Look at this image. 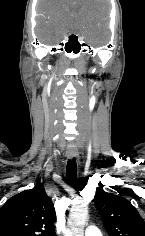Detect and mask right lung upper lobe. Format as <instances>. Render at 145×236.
Returning a JSON list of instances; mask_svg holds the SVG:
<instances>
[{"mask_svg":"<svg viewBox=\"0 0 145 236\" xmlns=\"http://www.w3.org/2000/svg\"><path fill=\"white\" fill-rule=\"evenodd\" d=\"M55 210L41 184L22 191L0 209V236H55Z\"/></svg>","mask_w":145,"mask_h":236,"instance_id":"1","label":"right lung upper lobe"}]
</instances>
